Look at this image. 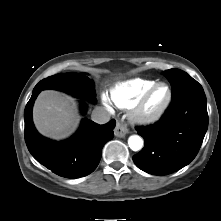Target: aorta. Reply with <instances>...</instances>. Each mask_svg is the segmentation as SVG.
I'll return each mask as SVG.
<instances>
[{
	"label": "aorta",
	"mask_w": 221,
	"mask_h": 221,
	"mask_svg": "<svg viewBox=\"0 0 221 221\" xmlns=\"http://www.w3.org/2000/svg\"><path fill=\"white\" fill-rule=\"evenodd\" d=\"M128 145L133 151H138L143 147V140L138 135H132L128 139Z\"/></svg>",
	"instance_id": "762f6f07"
}]
</instances>
